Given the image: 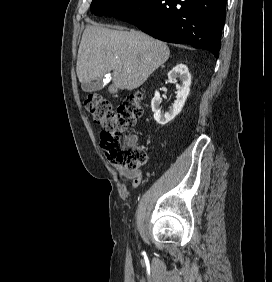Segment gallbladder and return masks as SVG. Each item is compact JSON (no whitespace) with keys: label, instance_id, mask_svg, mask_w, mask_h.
<instances>
[{"label":"gallbladder","instance_id":"1","mask_svg":"<svg viewBox=\"0 0 272 282\" xmlns=\"http://www.w3.org/2000/svg\"><path fill=\"white\" fill-rule=\"evenodd\" d=\"M104 86H105V83L101 79H99L96 82L83 84L82 89L85 92H95V91H99V90L103 89Z\"/></svg>","mask_w":272,"mask_h":282}]
</instances>
